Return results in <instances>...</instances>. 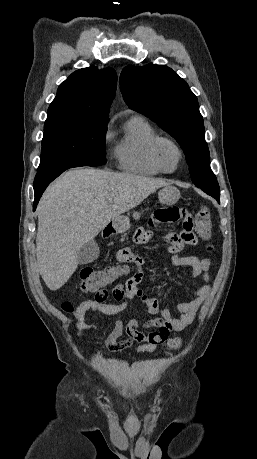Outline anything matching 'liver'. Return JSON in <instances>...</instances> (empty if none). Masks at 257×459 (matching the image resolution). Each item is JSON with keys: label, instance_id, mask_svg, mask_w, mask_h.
<instances>
[{"label": "liver", "instance_id": "1", "mask_svg": "<svg viewBox=\"0 0 257 459\" xmlns=\"http://www.w3.org/2000/svg\"><path fill=\"white\" fill-rule=\"evenodd\" d=\"M167 185L162 179L93 168L70 170L55 180L37 208V267L46 286L61 288L77 269L84 244Z\"/></svg>", "mask_w": 257, "mask_h": 459}]
</instances>
